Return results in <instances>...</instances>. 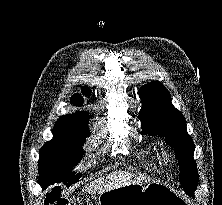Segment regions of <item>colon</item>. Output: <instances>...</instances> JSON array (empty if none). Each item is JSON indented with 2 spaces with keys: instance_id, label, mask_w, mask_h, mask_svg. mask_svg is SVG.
<instances>
[{
  "instance_id": "1",
  "label": "colon",
  "mask_w": 222,
  "mask_h": 205,
  "mask_svg": "<svg viewBox=\"0 0 222 205\" xmlns=\"http://www.w3.org/2000/svg\"><path fill=\"white\" fill-rule=\"evenodd\" d=\"M43 205H70V202L67 198L60 195L58 189H54L46 193Z\"/></svg>"
}]
</instances>
